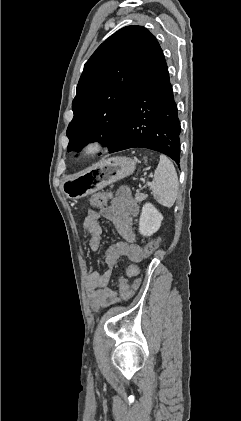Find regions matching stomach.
<instances>
[{"label":"stomach","mask_w":241,"mask_h":421,"mask_svg":"<svg viewBox=\"0 0 241 421\" xmlns=\"http://www.w3.org/2000/svg\"><path fill=\"white\" fill-rule=\"evenodd\" d=\"M135 166V161L128 157L101 160L83 173L66 178L62 183V191L71 200L83 198L132 174Z\"/></svg>","instance_id":"0dacf381"}]
</instances>
